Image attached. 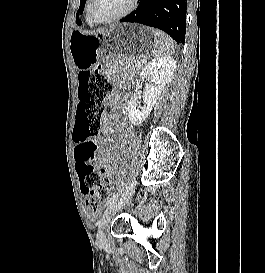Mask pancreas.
Wrapping results in <instances>:
<instances>
[{
    "label": "pancreas",
    "mask_w": 265,
    "mask_h": 273,
    "mask_svg": "<svg viewBox=\"0 0 265 273\" xmlns=\"http://www.w3.org/2000/svg\"><path fill=\"white\" fill-rule=\"evenodd\" d=\"M131 63H134L136 65H143L145 63L144 59L142 57L134 58Z\"/></svg>",
    "instance_id": "1"
}]
</instances>
